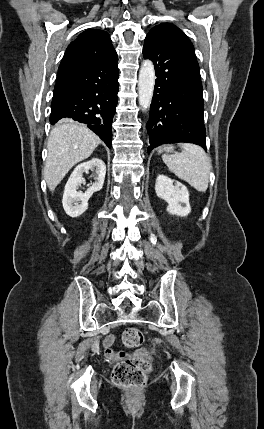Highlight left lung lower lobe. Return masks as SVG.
Instances as JSON below:
<instances>
[{"mask_svg": "<svg viewBox=\"0 0 264 429\" xmlns=\"http://www.w3.org/2000/svg\"><path fill=\"white\" fill-rule=\"evenodd\" d=\"M143 56L153 61L157 76L147 123L148 153L175 142L206 150L203 88L194 50L171 32L153 30L145 38Z\"/></svg>", "mask_w": 264, "mask_h": 429, "instance_id": "obj_1", "label": "left lung lower lobe"}]
</instances>
